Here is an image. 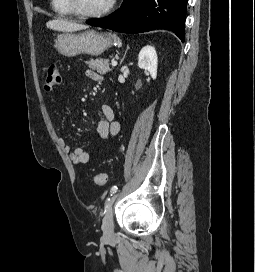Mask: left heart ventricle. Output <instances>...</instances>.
<instances>
[{"label":"left heart ventricle","mask_w":255,"mask_h":272,"mask_svg":"<svg viewBox=\"0 0 255 272\" xmlns=\"http://www.w3.org/2000/svg\"><path fill=\"white\" fill-rule=\"evenodd\" d=\"M77 7L83 12H98L104 9L109 0H75Z\"/></svg>","instance_id":"b2bd125f"}]
</instances>
